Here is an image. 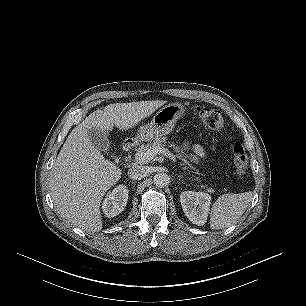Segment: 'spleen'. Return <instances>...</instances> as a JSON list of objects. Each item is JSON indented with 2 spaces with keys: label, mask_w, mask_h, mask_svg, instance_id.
Listing matches in <instances>:
<instances>
[{
  "label": "spleen",
  "mask_w": 306,
  "mask_h": 306,
  "mask_svg": "<svg viewBox=\"0 0 306 306\" xmlns=\"http://www.w3.org/2000/svg\"><path fill=\"white\" fill-rule=\"evenodd\" d=\"M252 192L228 193L220 196L213 204L210 215V228L223 229L235 223L247 209Z\"/></svg>",
  "instance_id": "3e777b00"
}]
</instances>
